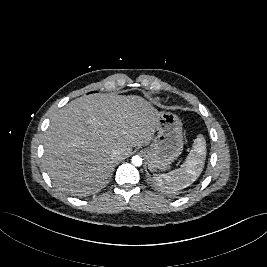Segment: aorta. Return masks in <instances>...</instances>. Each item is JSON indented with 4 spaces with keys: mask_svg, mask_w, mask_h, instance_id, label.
<instances>
[{
    "mask_svg": "<svg viewBox=\"0 0 267 267\" xmlns=\"http://www.w3.org/2000/svg\"><path fill=\"white\" fill-rule=\"evenodd\" d=\"M131 162L135 166H141L142 165V158L138 155H135L132 157Z\"/></svg>",
    "mask_w": 267,
    "mask_h": 267,
    "instance_id": "obj_1",
    "label": "aorta"
}]
</instances>
